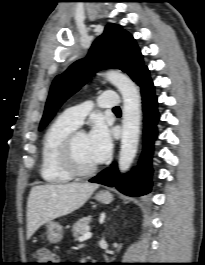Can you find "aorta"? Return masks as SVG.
<instances>
[{"instance_id": "obj_1", "label": "aorta", "mask_w": 205, "mask_h": 265, "mask_svg": "<svg viewBox=\"0 0 205 265\" xmlns=\"http://www.w3.org/2000/svg\"><path fill=\"white\" fill-rule=\"evenodd\" d=\"M105 78L113 84L123 98L122 137L119 154V170L126 172L137 153L140 123H141V96L136 84L125 74L109 70Z\"/></svg>"}]
</instances>
